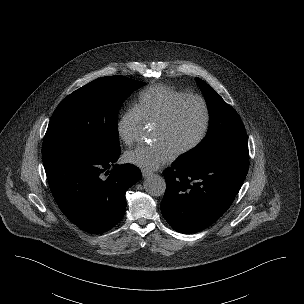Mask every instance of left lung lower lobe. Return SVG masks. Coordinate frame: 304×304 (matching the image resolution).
<instances>
[{"label": "left lung lower lobe", "mask_w": 304, "mask_h": 304, "mask_svg": "<svg viewBox=\"0 0 304 304\" xmlns=\"http://www.w3.org/2000/svg\"><path fill=\"white\" fill-rule=\"evenodd\" d=\"M249 168V158L224 156L197 167L181 160L164 171L166 191L161 211L180 233L201 231L230 207Z\"/></svg>", "instance_id": "left-lung-lower-lobe-1"}]
</instances>
